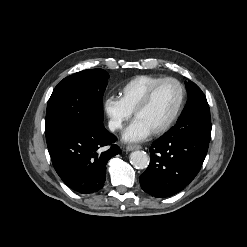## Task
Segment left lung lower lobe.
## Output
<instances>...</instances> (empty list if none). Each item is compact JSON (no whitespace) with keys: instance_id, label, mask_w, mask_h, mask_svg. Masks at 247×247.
I'll return each instance as SVG.
<instances>
[{"instance_id":"0a47b994","label":"left lung lower lobe","mask_w":247,"mask_h":247,"mask_svg":"<svg viewBox=\"0 0 247 247\" xmlns=\"http://www.w3.org/2000/svg\"><path fill=\"white\" fill-rule=\"evenodd\" d=\"M210 140L164 134L150 148V164L140 176L142 189L168 197L186 187L199 172Z\"/></svg>"}]
</instances>
